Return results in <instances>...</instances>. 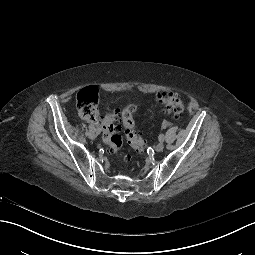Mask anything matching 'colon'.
I'll return each mask as SVG.
<instances>
[{
    "label": "colon",
    "instance_id": "1",
    "mask_svg": "<svg viewBox=\"0 0 255 255\" xmlns=\"http://www.w3.org/2000/svg\"><path fill=\"white\" fill-rule=\"evenodd\" d=\"M157 102L164 110L175 118L181 117L184 111V104L179 95L175 93H161L157 96ZM77 109L79 114L90 121H96L98 116V90L95 87H87L77 94ZM137 109L135 103L127 104L121 111H112L101 123L103 142L109 149L117 153L122 147V137L118 134L122 122L128 143L137 151L143 152L146 148L145 141L139 135L134 126V113ZM129 155L124 159L128 160Z\"/></svg>",
    "mask_w": 255,
    "mask_h": 255
}]
</instances>
